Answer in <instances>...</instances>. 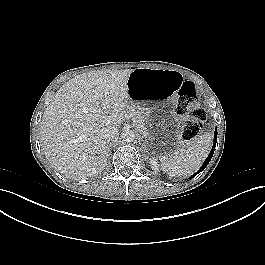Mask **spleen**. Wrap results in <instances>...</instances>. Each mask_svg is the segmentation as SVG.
<instances>
[{
  "instance_id": "obj_1",
  "label": "spleen",
  "mask_w": 265,
  "mask_h": 265,
  "mask_svg": "<svg viewBox=\"0 0 265 265\" xmlns=\"http://www.w3.org/2000/svg\"><path fill=\"white\" fill-rule=\"evenodd\" d=\"M212 142V136L209 133L203 134L187 149H181L180 152L162 156V169L170 176H186L197 170L206 157Z\"/></svg>"
}]
</instances>
